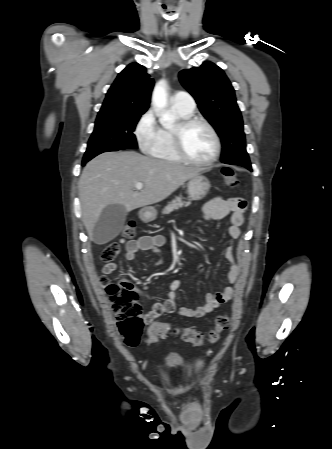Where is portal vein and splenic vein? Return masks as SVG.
<instances>
[{"label": "portal vein and splenic vein", "mask_w": 332, "mask_h": 449, "mask_svg": "<svg viewBox=\"0 0 332 449\" xmlns=\"http://www.w3.org/2000/svg\"><path fill=\"white\" fill-rule=\"evenodd\" d=\"M135 187H136V189L137 190H141L142 188H143V183H137L136 185H135Z\"/></svg>", "instance_id": "18ae733b"}]
</instances>
